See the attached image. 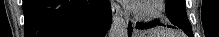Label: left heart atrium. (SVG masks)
<instances>
[{"label": "left heart atrium", "mask_w": 219, "mask_h": 37, "mask_svg": "<svg viewBox=\"0 0 219 37\" xmlns=\"http://www.w3.org/2000/svg\"><path fill=\"white\" fill-rule=\"evenodd\" d=\"M138 1L137 0H126L125 3L129 6H134Z\"/></svg>", "instance_id": "1"}]
</instances>
